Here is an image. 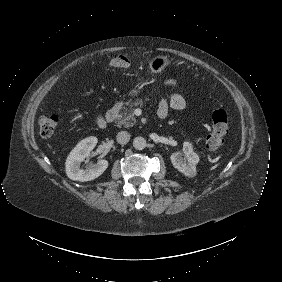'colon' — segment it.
Returning a JSON list of instances; mask_svg holds the SVG:
<instances>
[{
  "instance_id": "colon-1",
  "label": "colon",
  "mask_w": 282,
  "mask_h": 282,
  "mask_svg": "<svg viewBox=\"0 0 282 282\" xmlns=\"http://www.w3.org/2000/svg\"><path fill=\"white\" fill-rule=\"evenodd\" d=\"M130 65L128 56L116 53L107 60V66L113 70H125ZM58 117L49 113L39 120V131L44 137H51L58 125ZM229 132L227 113L223 109L215 110L211 115V126L206 135V147L210 151H218L225 146L226 136Z\"/></svg>"
}]
</instances>
